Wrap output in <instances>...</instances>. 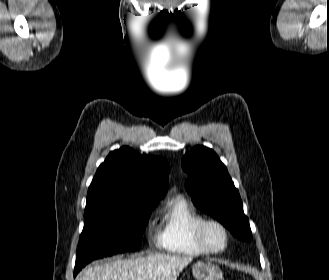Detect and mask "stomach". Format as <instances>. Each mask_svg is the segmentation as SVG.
<instances>
[{"label": "stomach", "instance_id": "1", "mask_svg": "<svg viewBox=\"0 0 329 280\" xmlns=\"http://www.w3.org/2000/svg\"><path fill=\"white\" fill-rule=\"evenodd\" d=\"M192 271L197 280H222L223 277L221 269L211 262H197Z\"/></svg>", "mask_w": 329, "mask_h": 280}]
</instances>
